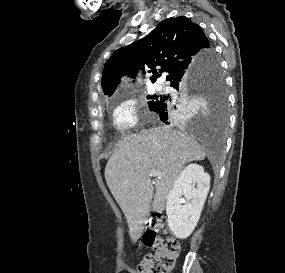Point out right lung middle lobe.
<instances>
[{"instance_id": "dd1d6c3e", "label": "right lung middle lobe", "mask_w": 285, "mask_h": 273, "mask_svg": "<svg viewBox=\"0 0 285 273\" xmlns=\"http://www.w3.org/2000/svg\"><path fill=\"white\" fill-rule=\"evenodd\" d=\"M208 64L205 71L198 77L197 90L191 92L190 89L180 91L178 97L169 96H148L156 101H149L148 105L152 111L160 102L166 101L173 116H180L184 106L191 104L194 97H200L213 102L220 113L219 126L223 130L227 124V93L224 76L221 72L219 61L214 51L209 55Z\"/></svg>"}]
</instances>
